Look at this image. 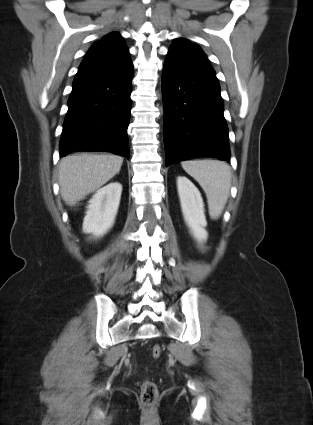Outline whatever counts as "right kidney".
I'll return each mask as SVG.
<instances>
[{"label":"right kidney","instance_id":"1","mask_svg":"<svg viewBox=\"0 0 313 425\" xmlns=\"http://www.w3.org/2000/svg\"><path fill=\"white\" fill-rule=\"evenodd\" d=\"M122 185L112 182L99 189L89 201L83 232L101 237L113 226L120 204Z\"/></svg>","mask_w":313,"mask_h":425}]
</instances>
